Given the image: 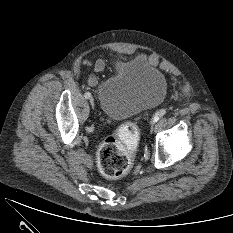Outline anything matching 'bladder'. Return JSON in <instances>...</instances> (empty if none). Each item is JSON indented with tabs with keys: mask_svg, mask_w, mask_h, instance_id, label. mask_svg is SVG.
I'll list each match as a JSON object with an SVG mask.
<instances>
[{
	"mask_svg": "<svg viewBox=\"0 0 233 233\" xmlns=\"http://www.w3.org/2000/svg\"><path fill=\"white\" fill-rule=\"evenodd\" d=\"M166 93L164 74L137 56L120 62L115 75L99 84L97 99L107 117L124 120L157 106Z\"/></svg>",
	"mask_w": 233,
	"mask_h": 233,
	"instance_id": "obj_1",
	"label": "bladder"
}]
</instances>
